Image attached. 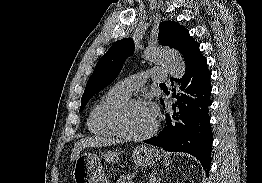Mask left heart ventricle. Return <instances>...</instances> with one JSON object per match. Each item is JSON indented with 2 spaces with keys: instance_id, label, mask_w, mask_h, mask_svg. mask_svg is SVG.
I'll return each instance as SVG.
<instances>
[{
  "instance_id": "obj_1",
  "label": "left heart ventricle",
  "mask_w": 262,
  "mask_h": 183,
  "mask_svg": "<svg viewBox=\"0 0 262 183\" xmlns=\"http://www.w3.org/2000/svg\"><path fill=\"white\" fill-rule=\"evenodd\" d=\"M124 123L128 132L140 135L148 132L153 127L155 121L149 117L143 105L140 104L128 108Z\"/></svg>"
}]
</instances>
